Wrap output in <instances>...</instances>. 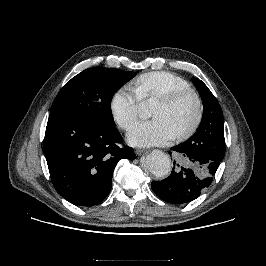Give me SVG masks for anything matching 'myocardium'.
Masks as SVG:
<instances>
[{
  "label": "myocardium",
  "mask_w": 266,
  "mask_h": 266,
  "mask_svg": "<svg viewBox=\"0 0 266 266\" xmlns=\"http://www.w3.org/2000/svg\"><path fill=\"white\" fill-rule=\"evenodd\" d=\"M185 98L193 99V101L195 102V106H196V112H195L194 119L192 123L190 124V126L184 131L176 134V137L178 139L189 138L199 128L202 122V119H203V114H204V104H203V100L201 96L195 90H192L189 88V89L177 90V91L168 93L157 99V102H160L167 106H172L182 101Z\"/></svg>",
  "instance_id": "obj_1"
}]
</instances>
